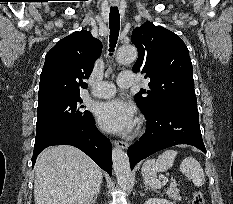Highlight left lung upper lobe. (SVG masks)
<instances>
[{
  "mask_svg": "<svg viewBox=\"0 0 233 204\" xmlns=\"http://www.w3.org/2000/svg\"><path fill=\"white\" fill-rule=\"evenodd\" d=\"M132 43L139 52L132 69L150 79L149 90L141 89L135 95L144 115L167 107L197 111L192 63L181 38L162 26L145 22L134 29Z\"/></svg>",
  "mask_w": 233,
  "mask_h": 204,
  "instance_id": "left-lung-upper-lobe-1",
  "label": "left lung upper lobe"
}]
</instances>
